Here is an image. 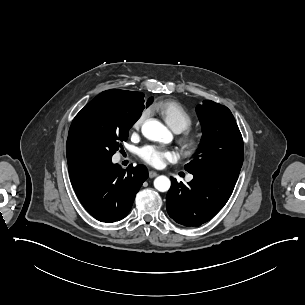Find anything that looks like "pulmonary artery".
I'll use <instances>...</instances> for the list:
<instances>
[{
  "mask_svg": "<svg viewBox=\"0 0 305 305\" xmlns=\"http://www.w3.org/2000/svg\"><path fill=\"white\" fill-rule=\"evenodd\" d=\"M193 179V175H189L188 177H187V180L188 181H191Z\"/></svg>",
  "mask_w": 305,
  "mask_h": 305,
  "instance_id": "obj_1",
  "label": "pulmonary artery"
}]
</instances>
